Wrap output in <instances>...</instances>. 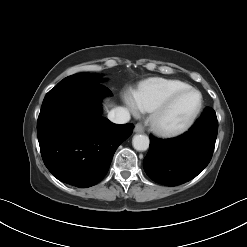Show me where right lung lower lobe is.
<instances>
[{"label": "right lung lower lobe", "mask_w": 247, "mask_h": 247, "mask_svg": "<svg viewBox=\"0 0 247 247\" xmlns=\"http://www.w3.org/2000/svg\"><path fill=\"white\" fill-rule=\"evenodd\" d=\"M111 92L101 83L56 85L42 103L37 136L42 159L60 181L86 188L108 172L117 147L133 131L101 116L100 98Z\"/></svg>", "instance_id": "1"}]
</instances>
